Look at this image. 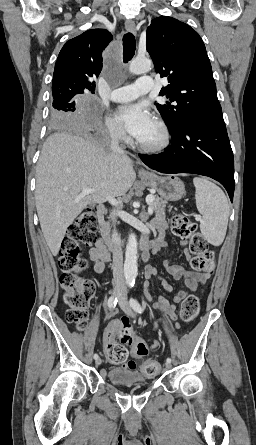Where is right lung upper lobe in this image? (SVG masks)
Returning <instances> with one entry per match:
<instances>
[{
  "label": "right lung upper lobe",
  "instance_id": "1",
  "mask_svg": "<svg viewBox=\"0 0 256 445\" xmlns=\"http://www.w3.org/2000/svg\"><path fill=\"white\" fill-rule=\"evenodd\" d=\"M111 40L109 31L91 29L67 41L55 64L52 94L94 93V79L102 70V51Z\"/></svg>",
  "mask_w": 256,
  "mask_h": 445
}]
</instances>
